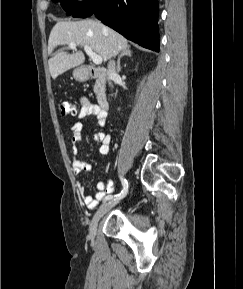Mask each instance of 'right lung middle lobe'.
Returning a JSON list of instances; mask_svg holds the SVG:
<instances>
[{
  "instance_id": "obj_1",
  "label": "right lung middle lobe",
  "mask_w": 243,
  "mask_h": 289,
  "mask_svg": "<svg viewBox=\"0 0 243 289\" xmlns=\"http://www.w3.org/2000/svg\"><path fill=\"white\" fill-rule=\"evenodd\" d=\"M54 2H61L63 9L67 12V15H72L75 11L80 9L90 0L83 2H77L76 0H53Z\"/></svg>"
}]
</instances>
